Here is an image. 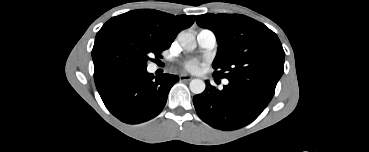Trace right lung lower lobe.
I'll return each mask as SVG.
<instances>
[{
	"label": "right lung lower lobe",
	"instance_id": "right-lung-lower-lobe-1",
	"mask_svg": "<svg viewBox=\"0 0 369 152\" xmlns=\"http://www.w3.org/2000/svg\"><path fill=\"white\" fill-rule=\"evenodd\" d=\"M95 78L107 109L125 123L137 124L157 116L164 108L171 87L179 77H154L146 68L121 67Z\"/></svg>",
	"mask_w": 369,
	"mask_h": 152
}]
</instances>
